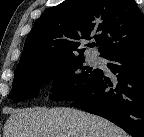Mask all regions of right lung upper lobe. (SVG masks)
Returning <instances> with one entry per match:
<instances>
[{
	"instance_id": "obj_1",
	"label": "right lung upper lobe",
	"mask_w": 144,
	"mask_h": 137,
	"mask_svg": "<svg viewBox=\"0 0 144 137\" xmlns=\"http://www.w3.org/2000/svg\"><path fill=\"white\" fill-rule=\"evenodd\" d=\"M91 37L99 43L104 58L135 47L144 42V14L134 0H66L35 21L18 66L83 57L81 41Z\"/></svg>"
}]
</instances>
